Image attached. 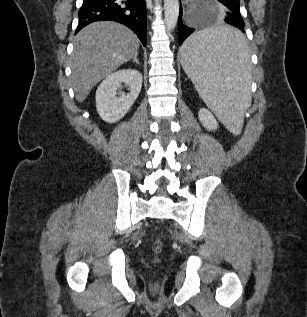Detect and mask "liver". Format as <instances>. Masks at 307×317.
Masks as SVG:
<instances>
[{
	"mask_svg": "<svg viewBox=\"0 0 307 317\" xmlns=\"http://www.w3.org/2000/svg\"><path fill=\"white\" fill-rule=\"evenodd\" d=\"M139 49V39L127 27L110 21L94 22L75 37L71 79L75 98L83 102L91 89Z\"/></svg>",
	"mask_w": 307,
	"mask_h": 317,
	"instance_id": "6515ba94",
	"label": "liver"
}]
</instances>
